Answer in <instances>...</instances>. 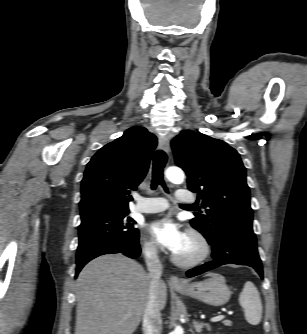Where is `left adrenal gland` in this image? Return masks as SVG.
<instances>
[{
  "label": "left adrenal gland",
  "instance_id": "1",
  "mask_svg": "<svg viewBox=\"0 0 307 334\" xmlns=\"http://www.w3.org/2000/svg\"><path fill=\"white\" fill-rule=\"evenodd\" d=\"M193 327L197 333H200L203 328H206L208 331H210L211 327L208 323H202L198 321L193 322Z\"/></svg>",
  "mask_w": 307,
  "mask_h": 334
}]
</instances>
